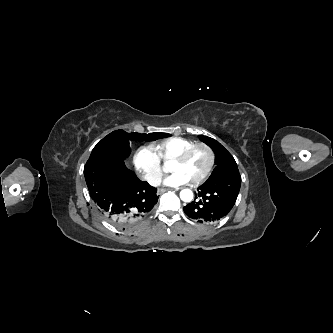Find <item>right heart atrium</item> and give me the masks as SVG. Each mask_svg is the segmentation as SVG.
<instances>
[{"label": "right heart atrium", "mask_w": 333, "mask_h": 333, "mask_svg": "<svg viewBox=\"0 0 333 333\" xmlns=\"http://www.w3.org/2000/svg\"><path fill=\"white\" fill-rule=\"evenodd\" d=\"M138 174L151 186L161 182L162 165L157 153L149 146L138 148L133 157Z\"/></svg>", "instance_id": "right-heart-atrium-1"}]
</instances>
